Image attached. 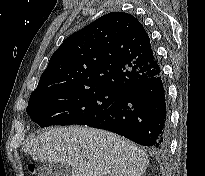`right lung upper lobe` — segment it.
Here are the masks:
<instances>
[{
    "mask_svg": "<svg viewBox=\"0 0 205 176\" xmlns=\"http://www.w3.org/2000/svg\"><path fill=\"white\" fill-rule=\"evenodd\" d=\"M159 73L142 24L130 14L112 12L64 40L30 96L97 87L122 92Z\"/></svg>",
    "mask_w": 205,
    "mask_h": 176,
    "instance_id": "cb5924a9",
    "label": "right lung upper lobe"
}]
</instances>
